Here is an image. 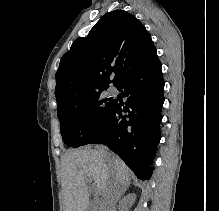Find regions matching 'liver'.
<instances>
[{
  "label": "liver",
  "mask_w": 219,
  "mask_h": 211,
  "mask_svg": "<svg viewBox=\"0 0 219 211\" xmlns=\"http://www.w3.org/2000/svg\"><path fill=\"white\" fill-rule=\"evenodd\" d=\"M87 177L93 179L102 201L96 203L97 211L104 209L105 201H111L112 191L127 187L131 179V169L108 149H72L62 159V187L66 211H88L90 191ZM115 205V203H112Z\"/></svg>",
  "instance_id": "6515ba94"
}]
</instances>
